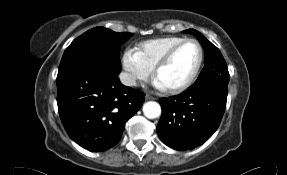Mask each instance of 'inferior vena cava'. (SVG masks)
I'll return each mask as SVG.
<instances>
[{"instance_id":"602c4592","label":"inferior vena cava","mask_w":287,"mask_h":175,"mask_svg":"<svg viewBox=\"0 0 287 175\" xmlns=\"http://www.w3.org/2000/svg\"><path fill=\"white\" fill-rule=\"evenodd\" d=\"M120 81L125 86H135L136 85V78L126 72H122L119 75Z\"/></svg>"}]
</instances>
